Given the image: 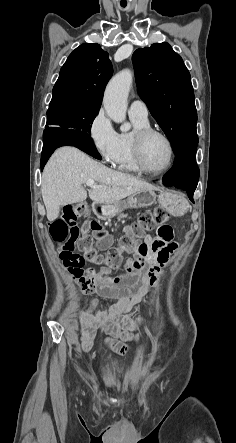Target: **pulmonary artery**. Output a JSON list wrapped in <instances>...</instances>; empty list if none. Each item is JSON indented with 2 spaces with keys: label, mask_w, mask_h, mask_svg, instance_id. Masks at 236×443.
I'll return each instance as SVG.
<instances>
[{
  "label": "pulmonary artery",
  "mask_w": 236,
  "mask_h": 443,
  "mask_svg": "<svg viewBox=\"0 0 236 443\" xmlns=\"http://www.w3.org/2000/svg\"><path fill=\"white\" fill-rule=\"evenodd\" d=\"M129 115L143 120L148 119V107L144 101L135 99L130 104Z\"/></svg>",
  "instance_id": "obj_1"
}]
</instances>
